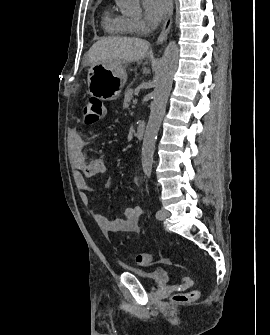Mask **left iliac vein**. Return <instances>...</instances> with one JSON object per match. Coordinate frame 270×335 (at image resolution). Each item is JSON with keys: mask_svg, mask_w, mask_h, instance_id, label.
<instances>
[{"mask_svg": "<svg viewBox=\"0 0 270 335\" xmlns=\"http://www.w3.org/2000/svg\"><path fill=\"white\" fill-rule=\"evenodd\" d=\"M160 212L161 214L158 217L159 220H165L169 216V212L163 208L160 210Z\"/></svg>", "mask_w": 270, "mask_h": 335, "instance_id": "4c4485c4", "label": "left iliac vein"}]
</instances>
